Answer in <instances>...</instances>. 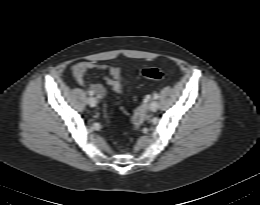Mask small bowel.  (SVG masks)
Listing matches in <instances>:
<instances>
[{
    "label": "small bowel",
    "mask_w": 260,
    "mask_h": 205,
    "mask_svg": "<svg viewBox=\"0 0 260 205\" xmlns=\"http://www.w3.org/2000/svg\"><path fill=\"white\" fill-rule=\"evenodd\" d=\"M103 70L109 73L108 83L116 94H121L123 91L124 77L122 71L118 67L108 65H98L92 62H78L72 67V76L74 80L81 86H88L89 91L101 99L104 96V89L97 84H87V75L91 70Z\"/></svg>",
    "instance_id": "c3829d8e"
}]
</instances>
